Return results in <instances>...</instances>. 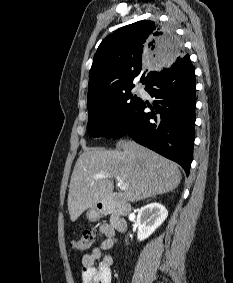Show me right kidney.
<instances>
[{
    "label": "right kidney",
    "instance_id": "right-kidney-1",
    "mask_svg": "<svg viewBox=\"0 0 233 283\" xmlns=\"http://www.w3.org/2000/svg\"><path fill=\"white\" fill-rule=\"evenodd\" d=\"M168 212L160 203H150L143 206L137 215L139 241L148 238L167 218Z\"/></svg>",
    "mask_w": 233,
    "mask_h": 283
}]
</instances>
